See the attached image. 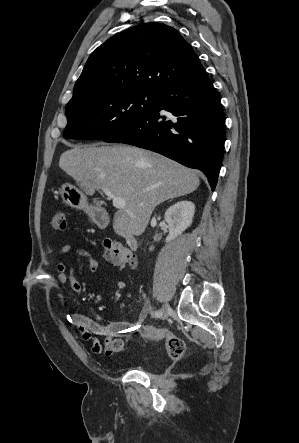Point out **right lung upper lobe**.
I'll return each mask as SVG.
<instances>
[{"instance_id":"cb5924a9","label":"right lung upper lobe","mask_w":299,"mask_h":443,"mask_svg":"<svg viewBox=\"0 0 299 443\" xmlns=\"http://www.w3.org/2000/svg\"><path fill=\"white\" fill-rule=\"evenodd\" d=\"M203 69L177 30L161 23L139 24L92 52L68 104L114 91L158 92Z\"/></svg>"}]
</instances>
